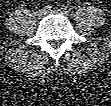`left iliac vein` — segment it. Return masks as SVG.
<instances>
[{
	"mask_svg": "<svg viewBox=\"0 0 111 106\" xmlns=\"http://www.w3.org/2000/svg\"><path fill=\"white\" fill-rule=\"evenodd\" d=\"M48 13H50V14H61V15H64V16H68V14H66L64 11H62L60 9L51 10Z\"/></svg>",
	"mask_w": 111,
	"mask_h": 106,
	"instance_id": "obj_1",
	"label": "left iliac vein"
}]
</instances>
